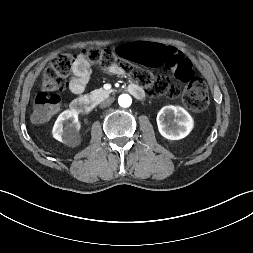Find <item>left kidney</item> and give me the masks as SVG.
<instances>
[{
  "instance_id": "left-kidney-1",
  "label": "left kidney",
  "mask_w": 253,
  "mask_h": 253,
  "mask_svg": "<svg viewBox=\"0 0 253 253\" xmlns=\"http://www.w3.org/2000/svg\"><path fill=\"white\" fill-rule=\"evenodd\" d=\"M159 133L168 140L185 138L193 129L191 115L180 106H164L157 115Z\"/></svg>"
}]
</instances>
